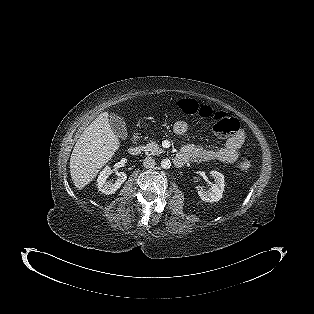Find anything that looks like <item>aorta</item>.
Masks as SVG:
<instances>
[{"mask_svg": "<svg viewBox=\"0 0 314 314\" xmlns=\"http://www.w3.org/2000/svg\"><path fill=\"white\" fill-rule=\"evenodd\" d=\"M170 166H171V162H170L169 159H163V160L161 161V167H162L163 169H169Z\"/></svg>", "mask_w": 314, "mask_h": 314, "instance_id": "obj_1", "label": "aorta"}]
</instances>
